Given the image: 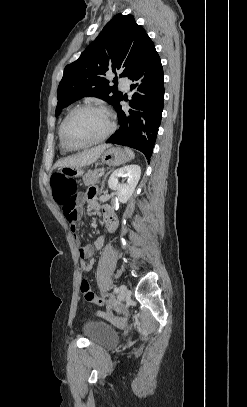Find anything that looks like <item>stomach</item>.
Segmentation results:
<instances>
[{"mask_svg":"<svg viewBox=\"0 0 247 407\" xmlns=\"http://www.w3.org/2000/svg\"><path fill=\"white\" fill-rule=\"evenodd\" d=\"M100 158L103 164L118 166L126 163L130 159V156L125 149L109 146L101 153ZM61 172L62 175L74 177L81 176L84 173L82 167L77 166H62Z\"/></svg>","mask_w":247,"mask_h":407,"instance_id":"0dacf381","label":"stomach"}]
</instances>
